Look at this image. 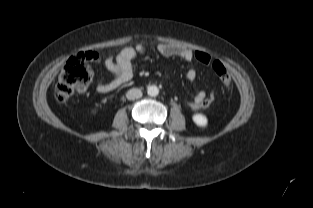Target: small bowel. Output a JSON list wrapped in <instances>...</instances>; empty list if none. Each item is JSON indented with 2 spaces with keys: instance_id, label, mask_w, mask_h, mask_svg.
<instances>
[{
  "instance_id": "small-bowel-1",
  "label": "small bowel",
  "mask_w": 313,
  "mask_h": 208,
  "mask_svg": "<svg viewBox=\"0 0 313 208\" xmlns=\"http://www.w3.org/2000/svg\"><path fill=\"white\" fill-rule=\"evenodd\" d=\"M147 47L143 43H138L135 46L123 48L116 56L109 55L104 59L105 68L113 75V79L109 82H99L96 90L101 94L112 92L120 86L127 83L133 76V60L139 55L146 52ZM157 51L164 57H179L184 61L190 62L194 60V52L179 46L169 43H160L157 45ZM93 61L98 60L96 53ZM197 76L195 68L191 67L186 77L189 81H194ZM206 93L199 91L194 99L188 102V105L193 109H199V105L206 99Z\"/></svg>"
}]
</instances>
